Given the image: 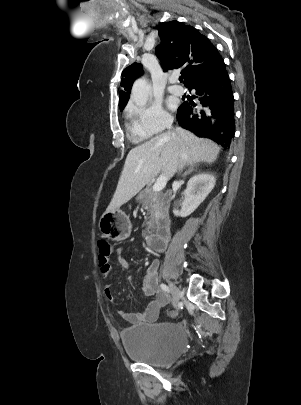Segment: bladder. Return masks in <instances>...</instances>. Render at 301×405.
I'll list each match as a JSON object with an SVG mask.
<instances>
[{
    "instance_id": "1",
    "label": "bladder",
    "mask_w": 301,
    "mask_h": 405,
    "mask_svg": "<svg viewBox=\"0 0 301 405\" xmlns=\"http://www.w3.org/2000/svg\"><path fill=\"white\" fill-rule=\"evenodd\" d=\"M121 341L131 359L153 366H167L185 352L188 337L182 325L158 322L123 329Z\"/></svg>"
}]
</instances>
